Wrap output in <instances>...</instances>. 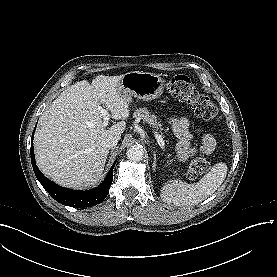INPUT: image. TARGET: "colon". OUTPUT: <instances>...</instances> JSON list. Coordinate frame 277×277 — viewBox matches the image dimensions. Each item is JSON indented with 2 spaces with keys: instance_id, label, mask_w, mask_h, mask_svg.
Returning <instances> with one entry per match:
<instances>
[{
  "instance_id": "colon-1",
  "label": "colon",
  "mask_w": 277,
  "mask_h": 277,
  "mask_svg": "<svg viewBox=\"0 0 277 277\" xmlns=\"http://www.w3.org/2000/svg\"><path fill=\"white\" fill-rule=\"evenodd\" d=\"M167 92L172 97L185 101L203 120H214L218 117L216 105L205 95L199 93L190 79L185 75L173 78L167 85ZM210 168L209 162L203 157H195L191 162L190 178L195 179L205 174Z\"/></svg>"
}]
</instances>
